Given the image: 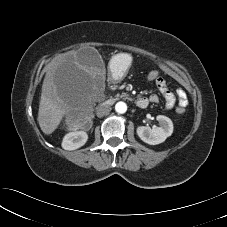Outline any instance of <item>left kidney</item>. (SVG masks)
<instances>
[{"mask_svg":"<svg viewBox=\"0 0 227 227\" xmlns=\"http://www.w3.org/2000/svg\"><path fill=\"white\" fill-rule=\"evenodd\" d=\"M156 120L159 122V127L151 129L147 126H139L136 129L139 138L150 145H157L164 142L173 133V123L170 118L158 115Z\"/></svg>","mask_w":227,"mask_h":227,"instance_id":"5707ae66","label":"left kidney"}]
</instances>
